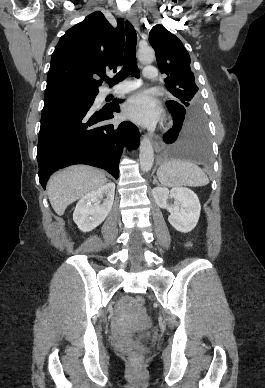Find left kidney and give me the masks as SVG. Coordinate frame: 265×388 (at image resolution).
Returning <instances> with one entry per match:
<instances>
[{
    "mask_svg": "<svg viewBox=\"0 0 265 388\" xmlns=\"http://www.w3.org/2000/svg\"><path fill=\"white\" fill-rule=\"evenodd\" d=\"M152 196L159 208L170 212L168 222L178 232H191L200 216V202L189 188H153ZM171 202V204H168Z\"/></svg>",
    "mask_w": 265,
    "mask_h": 388,
    "instance_id": "left-kidney-1",
    "label": "left kidney"
}]
</instances>
